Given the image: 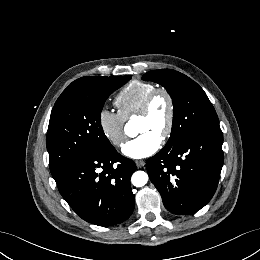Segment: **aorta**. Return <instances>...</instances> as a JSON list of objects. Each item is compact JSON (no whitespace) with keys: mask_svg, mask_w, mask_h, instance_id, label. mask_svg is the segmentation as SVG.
I'll return each mask as SVG.
<instances>
[{"mask_svg":"<svg viewBox=\"0 0 260 260\" xmlns=\"http://www.w3.org/2000/svg\"><path fill=\"white\" fill-rule=\"evenodd\" d=\"M125 133L128 136H133L137 133L134 125L131 122L125 125ZM131 182L135 187H142L148 182V174L144 171H136L131 177Z\"/></svg>","mask_w":260,"mask_h":260,"instance_id":"762f6f07","label":"aorta"}]
</instances>
